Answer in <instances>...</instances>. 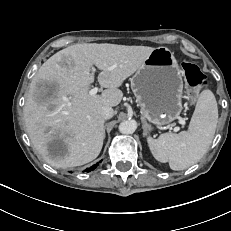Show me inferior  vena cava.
<instances>
[{
  "label": "inferior vena cava",
  "mask_w": 231,
  "mask_h": 231,
  "mask_svg": "<svg viewBox=\"0 0 231 231\" xmlns=\"http://www.w3.org/2000/svg\"><path fill=\"white\" fill-rule=\"evenodd\" d=\"M101 115H102V118L104 120H107V119H110L113 117L114 111H113L112 107L105 106L101 110Z\"/></svg>",
  "instance_id": "inferior-vena-cava-1"
}]
</instances>
